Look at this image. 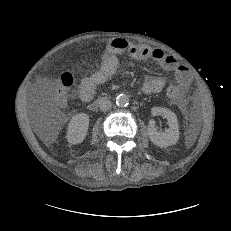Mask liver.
Segmentation results:
<instances>
[{"instance_id":"obj_1","label":"liver","mask_w":231,"mask_h":231,"mask_svg":"<svg viewBox=\"0 0 231 231\" xmlns=\"http://www.w3.org/2000/svg\"><path fill=\"white\" fill-rule=\"evenodd\" d=\"M56 136H57V132L55 133V134H53V136L52 137H47L46 138V141H53L55 138H56Z\"/></svg>"}]
</instances>
